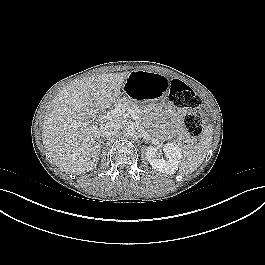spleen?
I'll list each match as a JSON object with an SVG mask.
<instances>
[{
  "instance_id": "1",
  "label": "spleen",
  "mask_w": 265,
  "mask_h": 265,
  "mask_svg": "<svg viewBox=\"0 0 265 265\" xmlns=\"http://www.w3.org/2000/svg\"><path fill=\"white\" fill-rule=\"evenodd\" d=\"M212 133V129L207 128L201 141L191 151L185 153L180 164L181 174L194 171L202 164L211 145Z\"/></svg>"
}]
</instances>
